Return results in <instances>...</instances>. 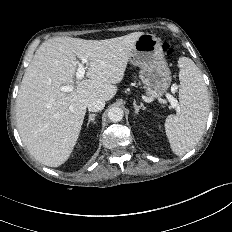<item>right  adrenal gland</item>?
Instances as JSON below:
<instances>
[{"instance_id":"1","label":"right adrenal gland","mask_w":232,"mask_h":232,"mask_svg":"<svg viewBox=\"0 0 232 232\" xmlns=\"http://www.w3.org/2000/svg\"><path fill=\"white\" fill-rule=\"evenodd\" d=\"M96 116V114H89V118H88V122H87V127L89 126L90 122L95 124V119L94 117Z\"/></svg>"}]
</instances>
